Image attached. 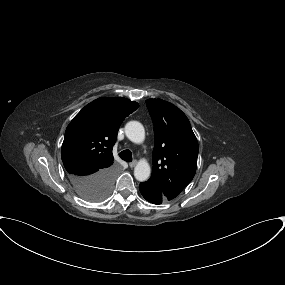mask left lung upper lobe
Listing matches in <instances>:
<instances>
[{
    "label": "left lung upper lobe",
    "mask_w": 285,
    "mask_h": 285,
    "mask_svg": "<svg viewBox=\"0 0 285 285\" xmlns=\"http://www.w3.org/2000/svg\"><path fill=\"white\" fill-rule=\"evenodd\" d=\"M146 104L154 124L155 143L149 181L173 199L195 175L199 145L180 109L161 99H148Z\"/></svg>",
    "instance_id": "5c2ea615"
}]
</instances>
